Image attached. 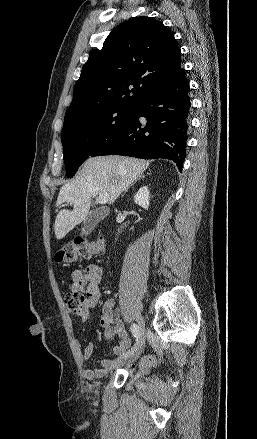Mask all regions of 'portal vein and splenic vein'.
<instances>
[{"instance_id":"obj_1","label":"portal vein and splenic vein","mask_w":257,"mask_h":439,"mask_svg":"<svg viewBox=\"0 0 257 439\" xmlns=\"http://www.w3.org/2000/svg\"><path fill=\"white\" fill-rule=\"evenodd\" d=\"M96 200L100 203V204H105L108 202L109 200V195L107 193H102L100 194Z\"/></svg>"}]
</instances>
